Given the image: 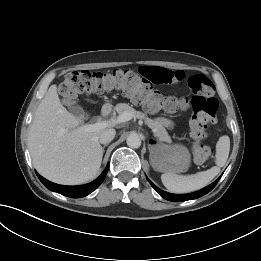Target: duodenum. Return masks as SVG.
<instances>
[{"label": "duodenum", "mask_w": 261, "mask_h": 261, "mask_svg": "<svg viewBox=\"0 0 261 261\" xmlns=\"http://www.w3.org/2000/svg\"><path fill=\"white\" fill-rule=\"evenodd\" d=\"M111 111V107L109 105H104L101 110L102 116H107Z\"/></svg>", "instance_id": "410a0bca"}]
</instances>
